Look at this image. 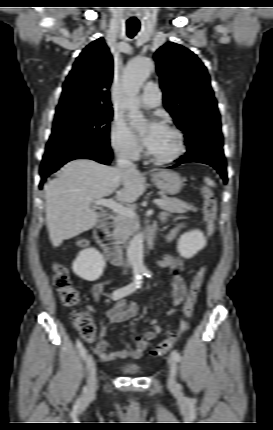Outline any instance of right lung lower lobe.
I'll return each mask as SVG.
<instances>
[{
  "label": "right lung lower lobe",
  "mask_w": 273,
  "mask_h": 430,
  "mask_svg": "<svg viewBox=\"0 0 273 430\" xmlns=\"http://www.w3.org/2000/svg\"><path fill=\"white\" fill-rule=\"evenodd\" d=\"M111 155H112L111 150L88 149V150L71 152L63 156H59L55 159L43 162L40 168L41 183L39 184V188L42 189L43 182L46 180L47 176L57 171L63 164H65L68 161L85 158V159H92L102 164L108 165L110 164Z\"/></svg>",
  "instance_id": "98d812e1"
}]
</instances>
